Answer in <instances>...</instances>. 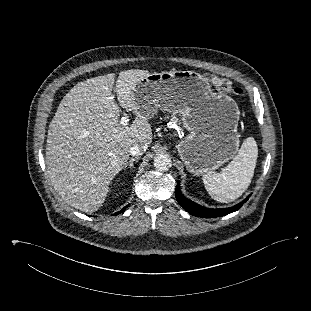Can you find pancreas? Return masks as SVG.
I'll return each instance as SVG.
<instances>
[{"mask_svg": "<svg viewBox=\"0 0 311 311\" xmlns=\"http://www.w3.org/2000/svg\"><path fill=\"white\" fill-rule=\"evenodd\" d=\"M171 121L174 122V123H177L178 122V118L177 117H172Z\"/></svg>", "mask_w": 311, "mask_h": 311, "instance_id": "cf45deb5", "label": "pancreas"}]
</instances>
